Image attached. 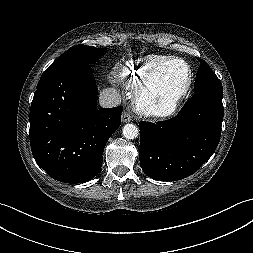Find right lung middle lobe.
Here are the masks:
<instances>
[{
    "instance_id": "right-lung-middle-lobe-1",
    "label": "right lung middle lobe",
    "mask_w": 253,
    "mask_h": 253,
    "mask_svg": "<svg viewBox=\"0 0 253 253\" xmlns=\"http://www.w3.org/2000/svg\"><path fill=\"white\" fill-rule=\"evenodd\" d=\"M106 49H99L85 45H75L64 52L41 77L56 71L72 68L80 65H87L99 59L106 53Z\"/></svg>"
}]
</instances>
